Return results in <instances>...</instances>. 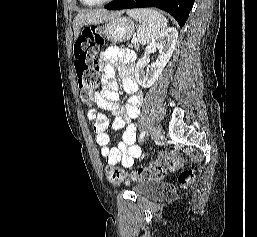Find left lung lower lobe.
<instances>
[{
  "mask_svg": "<svg viewBox=\"0 0 257 237\" xmlns=\"http://www.w3.org/2000/svg\"><path fill=\"white\" fill-rule=\"evenodd\" d=\"M195 0H115L105 6L108 10L156 7L171 14L180 27L188 19Z\"/></svg>",
  "mask_w": 257,
  "mask_h": 237,
  "instance_id": "left-lung-lower-lobe-1",
  "label": "left lung lower lobe"
}]
</instances>
